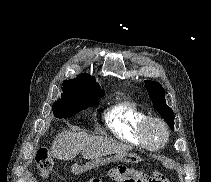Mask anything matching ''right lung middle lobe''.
Returning a JSON list of instances; mask_svg holds the SVG:
<instances>
[{
    "mask_svg": "<svg viewBox=\"0 0 211 182\" xmlns=\"http://www.w3.org/2000/svg\"><path fill=\"white\" fill-rule=\"evenodd\" d=\"M61 89V98L53 103V113L57 118L71 117L97 102L105 94L69 81H64Z\"/></svg>",
    "mask_w": 211,
    "mask_h": 182,
    "instance_id": "1",
    "label": "right lung middle lobe"
}]
</instances>
